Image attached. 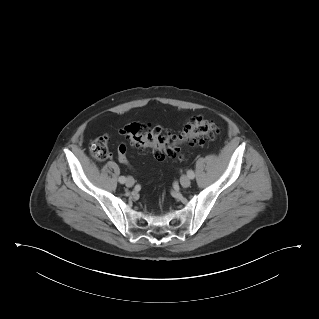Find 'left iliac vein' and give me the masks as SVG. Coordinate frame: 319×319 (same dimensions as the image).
<instances>
[{
  "mask_svg": "<svg viewBox=\"0 0 319 319\" xmlns=\"http://www.w3.org/2000/svg\"><path fill=\"white\" fill-rule=\"evenodd\" d=\"M180 183H181V185H182L183 187L187 188V187L190 186L191 181H190V179H189L188 176L183 175V176L180 178Z\"/></svg>",
  "mask_w": 319,
  "mask_h": 319,
  "instance_id": "4c4485c4",
  "label": "left iliac vein"
}]
</instances>
